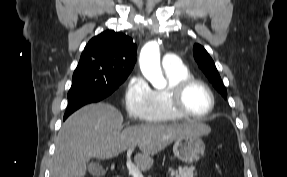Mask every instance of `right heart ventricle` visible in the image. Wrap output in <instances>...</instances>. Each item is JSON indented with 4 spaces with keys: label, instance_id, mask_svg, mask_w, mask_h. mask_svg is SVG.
Segmentation results:
<instances>
[{
    "label": "right heart ventricle",
    "instance_id": "1",
    "mask_svg": "<svg viewBox=\"0 0 287 177\" xmlns=\"http://www.w3.org/2000/svg\"><path fill=\"white\" fill-rule=\"evenodd\" d=\"M167 85L162 89L151 90L149 122L167 123L181 119L176 115L169 103V89L182 79L189 77L190 73L186 66L180 64L175 68H164Z\"/></svg>",
    "mask_w": 287,
    "mask_h": 177
}]
</instances>
